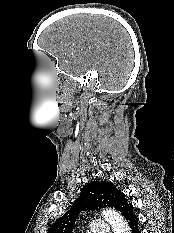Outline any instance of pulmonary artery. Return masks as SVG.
<instances>
[{"label":"pulmonary artery","mask_w":174,"mask_h":233,"mask_svg":"<svg viewBox=\"0 0 174 233\" xmlns=\"http://www.w3.org/2000/svg\"><path fill=\"white\" fill-rule=\"evenodd\" d=\"M110 227L108 223L103 220H95L91 223L89 233H109Z\"/></svg>","instance_id":"pulmonary-artery-1"}]
</instances>
